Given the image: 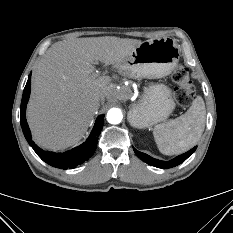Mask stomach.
<instances>
[{
	"label": "stomach",
	"instance_id": "1",
	"mask_svg": "<svg viewBox=\"0 0 233 233\" xmlns=\"http://www.w3.org/2000/svg\"><path fill=\"white\" fill-rule=\"evenodd\" d=\"M180 52L171 38L143 41L117 64L121 73L135 79L162 78L176 67ZM175 108L171 90L163 84L144 88L143 95L128 113L129 123L138 129L166 120Z\"/></svg>",
	"mask_w": 233,
	"mask_h": 233
}]
</instances>
